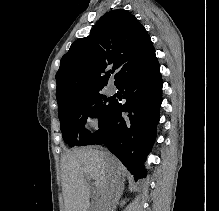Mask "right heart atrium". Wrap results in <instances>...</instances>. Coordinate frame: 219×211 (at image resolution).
<instances>
[{"instance_id": "right-heart-atrium-1", "label": "right heart atrium", "mask_w": 219, "mask_h": 211, "mask_svg": "<svg viewBox=\"0 0 219 211\" xmlns=\"http://www.w3.org/2000/svg\"><path fill=\"white\" fill-rule=\"evenodd\" d=\"M85 121H86V125L93 129L98 128L100 123L99 117L93 113L88 114Z\"/></svg>"}]
</instances>
